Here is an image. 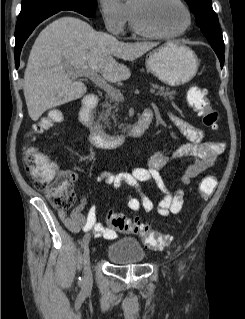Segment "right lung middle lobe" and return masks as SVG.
<instances>
[{
	"label": "right lung middle lobe",
	"mask_w": 245,
	"mask_h": 319,
	"mask_svg": "<svg viewBox=\"0 0 245 319\" xmlns=\"http://www.w3.org/2000/svg\"><path fill=\"white\" fill-rule=\"evenodd\" d=\"M96 0H22L18 21L28 19L40 13L57 9H68L87 17L95 15Z\"/></svg>",
	"instance_id": "obj_1"
}]
</instances>
